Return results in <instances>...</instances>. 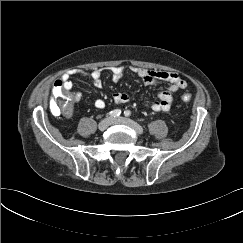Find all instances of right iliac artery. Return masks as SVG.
<instances>
[{"mask_svg": "<svg viewBox=\"0 0 243 243\" xmlns=\"http://www.w3.org/2000/svg\"><path fill=\"white\" fill-rule=\"evenodd\" d=\"M120 114H121V110L119 109H115L109 113L111 118H117L118 116H120Z\"/></svg>", "mask_w": 243, "mask_h": 243, "instance_id": "82829eb1", "label": "right iliac artery"}]
</instances>
